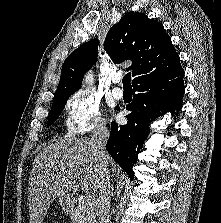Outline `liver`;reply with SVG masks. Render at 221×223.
Segmentation results:
<instances>
[{
  "label": "liver",
  "mask_w": 221,
  "mask_h": 223,
  "mask_svg": "<svg viewBox=\"0 0 221 223\" xmlns=\"http://www.w3.org/2000/svg\"><path fill=\"white\" fill-rule=\"evenodd\" d=\"M108 164L112 162L108 156ZM99 159L92 139L55 141L36 156L29 178L30 223H42L50 203L76 191H96L99 186Z\"/></svg>",
  "instance_id": "1"
}]
</instances>
